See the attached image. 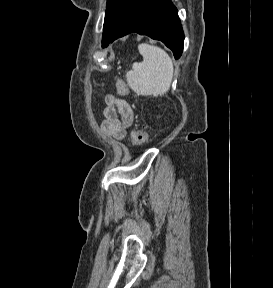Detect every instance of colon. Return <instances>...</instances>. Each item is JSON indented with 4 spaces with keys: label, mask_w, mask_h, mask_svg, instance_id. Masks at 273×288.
Listing matches in <instances>:
<instances>
[{
    "label": "colon",
    "mask_w": 273,
    "mask_h": 288,
    "mask_svg": "<svg viewBox=\"0 0 273 288\" xmlns=\"http://www.w3.org/2000/svg\"><path fill=\"white\" fill-rule=\"evenodd\" d=\"M116 90L119 95L125 96L128 94V88L122 79L117 80ZM147 139L148 132L144 127L138 128L131 133V144L133 146H141L147 141Z\"/></svg>",
    "instance_id": "obj_1"
}]
</instances>
